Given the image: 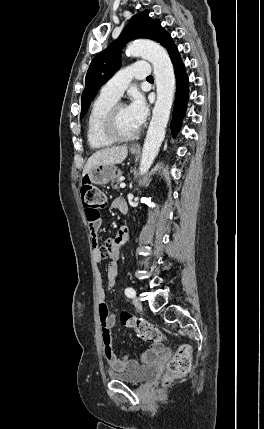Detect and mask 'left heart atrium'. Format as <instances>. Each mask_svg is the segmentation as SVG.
Listing matches in <instances>:
<instances>
[{
  "label": "left heart atrium",
  "instance_id": "obj_1",
  "mask_svg": "<svg viewBox=\"0 0 264 429\" xmlns=\"http://www.w3.org/2000/svg\"><path fill=\"white\" fill-rule=\"evenodd\" d=\"M127 110L133 121L140 127L147 115H148V107L144 97L139 94H133L131 98L130 104L127 106Z\"/></svg>",
  "mask_w": 264,
  "mask_h": 429
}]
</instances>
